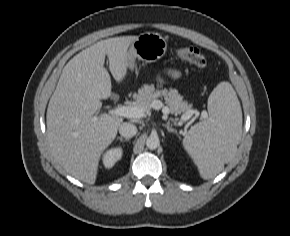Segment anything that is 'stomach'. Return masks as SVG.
Wrapping results in <instances>:
<instances>
[{"mask_svg": "<svg viewBox=\"0 0 290 236\" xmlns=\"http://www.w3.org/2000/svg\"><path fill=\"white\" fill-rule=\"evenodd\" d=\"M167 50L166 40L158 33L146 32L137 36L128 50V67L133 69L136 59L145 62H156Z\"/></svg>", "mask_w": 290, "mask_h": 236, "instance_id": "obj_1", "label": "stomach"}]
</instances>
